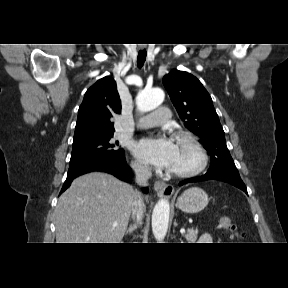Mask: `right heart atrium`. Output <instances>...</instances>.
I'll list each match as a JSON object with an SVG mask.
<instances>
[{"instance_id": "d8ad5b80", "label": "right heart atrium", "mask_w": 288, "mask_h": 288, "mask_svg": "<svg viewBox=\"0 0 288 288\" xmlns=\"http://www.w3.org/2000/svg\"><path fill=\"white\" fill-rule=\"evenodd\" d=\"M133 167L136 171L140 173H146L148 171V167L141 161H134Z\"/></svg>"}]
</instances>
